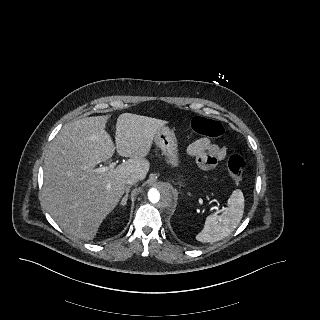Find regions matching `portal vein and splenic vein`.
<instances>
[{
    "label": "portal vein and splenic vein",
    "mask_w": 320,
    "mask_h": 320,
    "mask_svg": "<svg viewBox=\"0 0 320 320\" xmlns=\"http://www.w3.org/2000/svg\"><path fill=\"white\" fill-rule=\"evenodd\" d=\"M115 166H116V162H112V163L109 164V166H104V167L98 168L97 171L98 172H107L109 170L114 169ZM224 209L225 208H222V210H224ZM213 210H216V212H214L215 214L220 212L219 207H217V206H214V207L210 208V211H213Z\"/></svg>",
    "instance_id": "18ae733b"
}]
</instances>
